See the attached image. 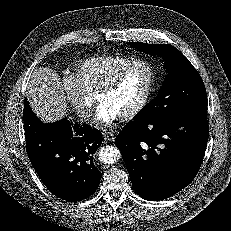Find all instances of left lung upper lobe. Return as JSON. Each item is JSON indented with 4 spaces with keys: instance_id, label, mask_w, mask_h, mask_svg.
<instances>
[{
    "instance_id": "5c2ea615",
    "label": "left lung upper lobe",
    "mask_w": 231,
    "mask_h": 231,
    "mask_svg": "<svg viewBox=\"0 0 231 231\" xmlns=\"http://www.w3.org/2000/svg\"><path fill=\"white\" fill-rule=\"evenodd\" d=\"M149 55L161 56L168 75L158 95L134 117V121H159L183 111L206 107L203 80L190 61L168 44L131 43Z\"/></svg>"
}]
</instances>
